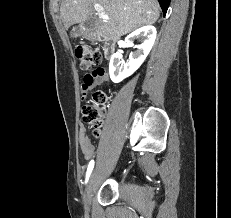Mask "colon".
Segmentation results:
<instances>
[{
    "mask_svg": "<svg viewBox=\"0 0 231 218\" xmlns=\"http://www.w3.org/2000/svg\"><path fill=\"white\" fill-rule=\"evenodd\" d=\"M75 56L79 61L81 70L93 69L102 62V53L90 45L81 44L75 48ZM107 95L100 90L93 93L92 99L83 107V120L92 128L93 134L98 137L103 117L104 105Z\"/></svg>",
    "mask_w": 231,
    "mask_h": 218,
    "instance_id": "1",
    "label": "colon"
}]
</instances>
